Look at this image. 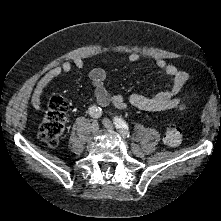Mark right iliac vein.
I'll return each mask as SVG.
<instances>
[{
  "instance_id": "obj_1",
  "label": "right iliac vein",
  "mask_w": 221,
  "mask_h": 221,
  "mask_svg": "<svg viewBox=\"0 0 221 221\" xmlns=\"http://www.w3.org/2000/svg\"><path fill=\"white\" fill-rule=\"evenodd\" d=\"M99 129V125L97 122H93L92 126H91V130L92 132H97Z\"/></svg>"
}]
</instances>
